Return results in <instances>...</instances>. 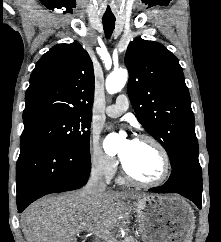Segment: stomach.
Returning <instances> with one entry per match:
<instances>
[{"label": "stomach", "instance_id": "1", "mask_svg": "<svg viewBox=\"0 0 221 242\" xmlns=\"http://www.w3.org/2000/svg\"><path fill=\"white\" fill-rule=\"evenodd\" d=\"M144 242H191L195 216L177 195H145L133 202Z\"/></svg>", "mask_w": 221, "mask_h": 242}]
</instances>
